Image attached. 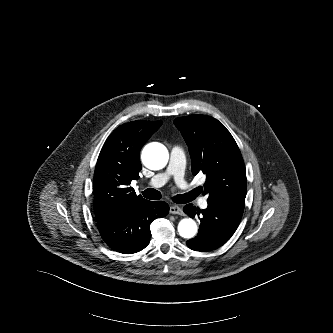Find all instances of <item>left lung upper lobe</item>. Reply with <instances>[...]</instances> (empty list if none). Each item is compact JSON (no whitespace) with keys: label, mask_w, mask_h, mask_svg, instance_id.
<instances>
[{"label":"left lung upper lobe","mask_w":333,"mask_h":333,"mask_svg":"<svg viewBox=\"0 0 333 333\" xmlns=\"http://www.w3.org/2000/svg\"><path fill=\"white\" fill-rule=\"evenodd\" d=\"M191 155L192 173L207 172L204 188L211 190L208 202L246 196L247 181L243 158L230 132L216 119L190 115L174 120Z\"/></svg>","instance_id":"obj_1"}]
</instances>
